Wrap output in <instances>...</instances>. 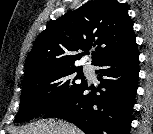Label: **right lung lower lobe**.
I'll return each instance as SVG.
<instances>
[{"instance_id": "obj_1", "label": "right lung lower lobe", "mask_w": 153, "mask_h": 134, "mask_svg": "<svg viewBox=\"0 0 153 134\" xmlns=\"http://www.w3.org/2000/svg\"><path fill=\"white\" fill-rule=\"evenodd\" d=\"M95 66L99 88L88 92V84L69 100L50 109L44 118L73 122L85 134H129L138 87L137 44L117 51Z\"/></svg>"}]
</instances>
